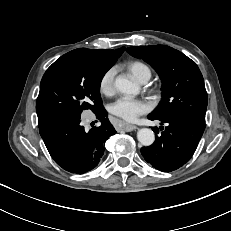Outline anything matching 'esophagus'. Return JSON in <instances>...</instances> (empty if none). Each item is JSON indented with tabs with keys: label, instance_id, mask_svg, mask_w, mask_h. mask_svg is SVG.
I'll return each instance as SVG.
<instances>
[{
	"label": "esophagus",
	"instance_id": "1",
	"mask_svg": "<svg viewBox=\"0 0 231 231\" xmlns=\"http://www.w3.org/2000/svg\"><path fill=\"white\" fill-rule=\"evenodd\" d=\"M121 129L125 130L126 132L134 131L137 129V126L131 124H123L120 126Z\"/></svg>",
	"mask_w": 231,
	"mask_h": 231
}]
</instances>
